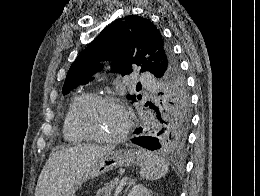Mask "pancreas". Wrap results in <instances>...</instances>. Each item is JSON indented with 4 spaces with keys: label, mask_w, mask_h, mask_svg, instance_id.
Segmentation results:
<instances>
[{
    "label": "pancreas",
    "mask_w": 260,
    "mask_h": 196,
    "mask_svg": "<svg viewBox=\"0 0 260 196\" xmlns=\"http://www.w3.org/2000/svg\"><path fill=\"white\" fill-rule=\"evenodd\" d=\"M120 180L119 178H115V180H111L109 184H104L103 188L97 190L96 196H112V192L116 186H118Z\"/></svg>",
    "instance_id": "obj_1"
}]
</instances>
